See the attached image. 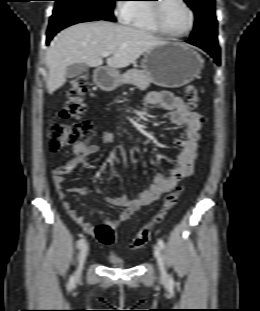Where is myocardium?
Segmentation results:
<instances>
[{"instance_id": "myocardium-1", "label": "myocardium", "mask_w": 260, "mask_h": 311, "mask_svg": "<svg viewBox=\"0 0 260 311\" xmlns=\"http://www.w3.org/2000/svg\"><path fill=\"white\" fill-rule=\"evenodd\" d=\"M164 0H155L154 3L150 4V15L151 19L156 26V28L164 35L173 37V38H181L185 37L188 34L191 33V31L194 28L195 25V13L189 3L186 0H179L180 3L187 9L189 16H190V24L186 31L182 33H173L169 30H167L163 24L162 16H161V9L163 5Z\"/></svg>"}]
</instances>
